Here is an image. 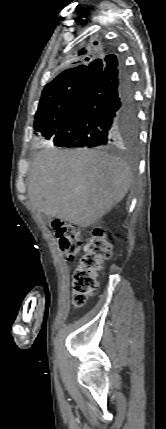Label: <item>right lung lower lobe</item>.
Masks as SVG:
<instances>
[{
	"label": "right lung lower lobe",
	"mask_w": 166,
	"mask_h": 429,
	"mask_svg": "<svg viewBox=\"0 0 166 429\" xmlns=\"http://www.w3.org/2000/svg\"><path fill=\"white\" fill-rule=\"evenodd\" d=\"M136 125L130 73L122 59L109 54L88 65L54 142L59 147L102 146L117 130Z\"/></svg>",
	"instance_id": "right-lung-lower-lobe-1"
}]
</instances>
